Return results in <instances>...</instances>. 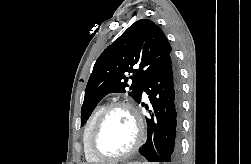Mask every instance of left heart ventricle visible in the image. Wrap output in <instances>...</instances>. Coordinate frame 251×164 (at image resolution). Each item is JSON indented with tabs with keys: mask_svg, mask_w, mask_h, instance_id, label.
Returning a JSON list of instances; mask_svg holds the SVG:
<instances>
[{
	"mask_svg": "<svg viewBox=\"0 0 251 164\" xmlns=\"http://www.w3.org/2000/svg\"><path fill=\"white\" fill-rule=\"evenodd\" d=\"M137 135L135 121L127 109L113 110L105 120L96 140L98 151L107 156L128 151Z\"/></svg>",
	"mask_w": 251,
	"mask_h": 164,
	"instance_id": "b2bd125f",
	"label": "left heart ventricle"
}]
</instances>
